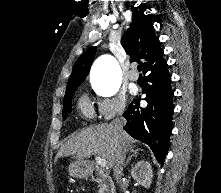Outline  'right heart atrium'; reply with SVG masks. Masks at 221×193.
Instances as JSON below:
<instances>
[{"instance_id": "d8ad5b80", "label": "right heart atrium", "mask_w": 221, "mask_h": 193, "mask_svg": "<svg viewBox=\"0 0 221 193\" xmlns=\"http://www.w3.org/2000/svg\"><path fill=\"white\" fill-rule=\"evenodd\" d=\"M126 97L120 93H114L109 97L96 100V112L104 121H109L116 116L122 115L126 110Z\"/></svg>"}]
</instances>
